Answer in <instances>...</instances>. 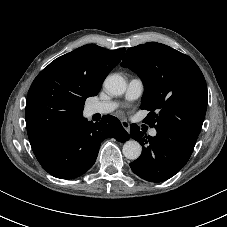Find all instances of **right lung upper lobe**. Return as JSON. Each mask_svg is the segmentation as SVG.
<instances>
[{
  "mask_svg": "<svg viewBox=\"0 0 227 227\" xmlns=\"http://www.w3.org/2000/svg\"><path fill=\"white\" fill-rule=\"evenodd\" d=\"M125 48L84 45L58 57L33 81L27 96V133L36 155L61 133L83 120L85 100L96 96Z\"/></svg>",
  "mask_w": 227,
  "mask_h": 227,
  "instance_id": "right-lung-upper-lobe-1",
  "label": "right lung upper lobe"
}]
</instances>
